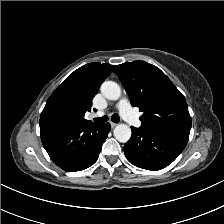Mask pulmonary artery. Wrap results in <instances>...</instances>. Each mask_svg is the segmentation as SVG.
<instances>
[{
	"label": "pulmonary artery",
	"mask_w": 224,
	"mask_h": 224,
	"mask_svg": "<svg viewBox=\"0 0 224 224\" xmlns=\"http://www.w3.org/2000/svg\"><path fill=\"white\" fill-rule=\"evenodd\" d=\"M117 108L119 109L121 115L129 122L130 125L134 127H140L141 122L135 115L127 99H121L117 104ZM101 114V112L98 113V115Z\"/></svg>",
	"instance_id": "1"
}]
</instances>
